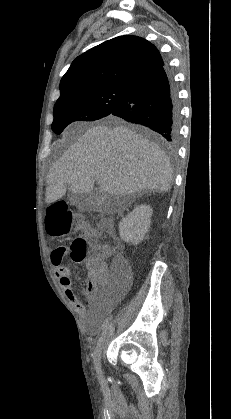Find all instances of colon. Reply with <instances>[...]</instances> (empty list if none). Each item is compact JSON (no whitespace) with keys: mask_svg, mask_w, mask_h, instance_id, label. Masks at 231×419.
<instances>
[{"mask_svg":"<svg viewBox=\"0 0 231 419\" xmlns=\"http://www.w3.org/2000/svg\"><path fill=\"white\" fill-rule=\"evenodd\" d=\"M47 225L51 232L68 234L74 231L85 232L93 236L94 231L81 215L75 214L64 202L53 203L47 211ZM110 249L101 243H92L85 238L75 239L70 247L72 260L81 262L87 260L88 283L96 287L99 282L110 283L114 290H119L121 284L127 281L129 276L127 265L122 260H115L109 267L105 258Z\"/></svg>","mask_w":231,"mask_h":419,"instance_id":"5ec220e1","label":"colon"}]
</instances>
